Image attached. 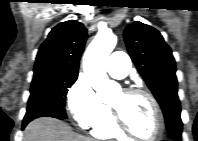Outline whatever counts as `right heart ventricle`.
Instances as JSON below:
<instances>
[{
    "instance_id": "1",
    "label": "right heart ventricle",
    "mask_w": 198,
    "mask_h": 141,
    "mask_svg": "<svg viewBox=\"0 0 198 141\" xmlns=\"http://www.w3.org/2000/svg\"><path fill=\"white\" fill-rule=\"evenodd\" d=\"M91 133L98 138L122 139L125 137L114 124L109 108L105 117L92 127Z\"/></svg>"
}]
</instances>
